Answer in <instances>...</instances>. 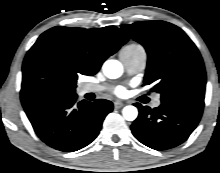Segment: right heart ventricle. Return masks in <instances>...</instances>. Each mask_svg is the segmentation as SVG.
Instances as JSON below:
<instances>
[{
  "label": "right heart ventricle",
  "instance_id": "obj_1",
  "mask_svg": "<svg viewBox=\"0 0 220 173\" xmlns=\"http://www.w3.org/2000/svg\"><path fill=\"white\" fill-rule=\"evenodd\" d=\"M125 49L138 50V49H142V48H141V46L134 44V45L126 47Z\"/></svg>",
  "mask_w": 220,
  "mask_h": 173
}]
</instances>
